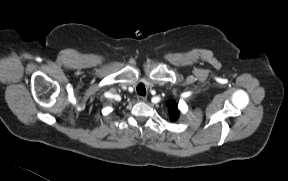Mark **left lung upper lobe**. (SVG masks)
Listing matches in <instances>:
<instances>
[{"label":"left lung upper lobe","instance_id":"obj_1","mask_svg":"<svg viewBox=\"0 0 288 181\" xmlns=\"http://www.w3.org/2000/svg\"><path fill=\"white\" fill-rule=\"evenodd\" d=\"M169 112H170V118L172 121H175L179 116V110L177 108V105L175 102H170L168 104Z\"/></svg>","mask_w":288,"mask_h":181}]
</instances>
